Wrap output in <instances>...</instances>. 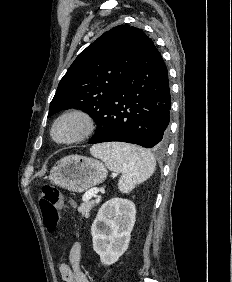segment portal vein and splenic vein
I'll use <instances>...</instances> for the list:
<instances>
[{
	"label": "portal vein and splenic vein",
	"instance_id": "1",
	"mask_svg": "<svg viewBox=\"0 0 232 282\" xmlns=\"http://www.w3.org/2000/svg\"><path fill=\"white\" fill-rule=\"evenodd\" d=\"M99 191H100V190H99L98 188H94V189H91V190L87 191V192L83 195L82 200H83L84 202L89 201L93 196L97 195V194L99 193Z\"/></svg>",
	"mask_w": 232,
	"mask_h": 282
}]
</instances>
